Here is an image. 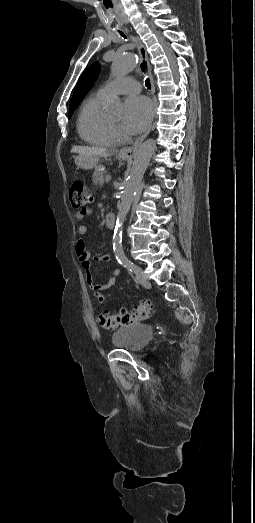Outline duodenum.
<instances>
[{"instance_id": "obj_1", "label": "duodenum", "mask_w": 255, "mask_h": 523, "mask_svg": "<svg viewBox=\"0 0 255 523\" xmlns=\"http://www.w3.org/2000/svg\"><path fill=\"white\" fill-rule=\"evenodd\" d=\"M105 224L108 228H113L115 225V215L113 213H109L105 217Z\"/></svg>"}]
</instances>
